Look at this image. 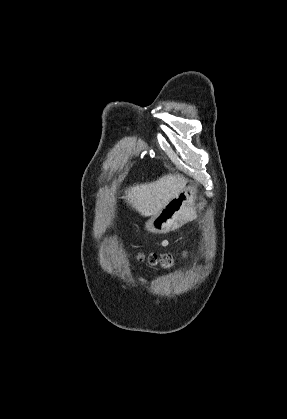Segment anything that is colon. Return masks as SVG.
Returning <instances> with one entry per match:
<instances>
[{"label": "colon", "mask_w": 287, "mask_h": 419, "mask_svg": "<svg viewBox=\"0 0 287 419\" xmlns=\"http://www.w3.org/2000/svg\"><path fill=\"white\" fill-rule=\"evenodd\" d=\"M142 260H147L150 264H160L163 267H170L173 263V259L166 253H151L147 256H140Z\"/></svg>", "instance_id": "colon-1"}]
</instances>
